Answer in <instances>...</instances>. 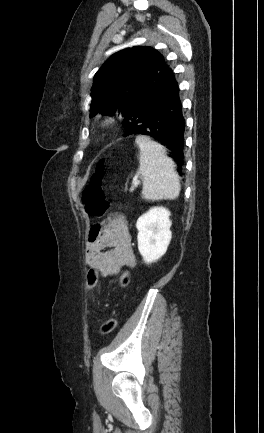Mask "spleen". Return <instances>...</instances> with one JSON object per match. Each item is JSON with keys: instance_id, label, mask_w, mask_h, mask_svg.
<instances>
[{"instance_id": "spleen-1", "label": "spleen", "mask_w": 264, "mask_h": 433, "mask_svg": "<svg viewBox=\"0 0 264 433\" xmlns=\"http://www.w3.org/2000/svg\"><path fill=\"white\" fill-rule=\"evenodd\" d=\"M140 148L139 173L143 181L142 196L146 200H175L181 186L179 176L174 170V162L165 148L146 136L135 140Z\"/></svg>"}]
</instances>
